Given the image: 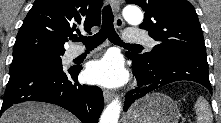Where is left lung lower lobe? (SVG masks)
Returning a JSON list of instances; mask_svg holds the SVG:
<instances>
[{"mask_svg": "<svg viewBox=\"0 0 221 123\" xmlns=\"http://www.w3.org/2000/svg\"><path fill=\"white\" fill-rule=\"evenodd\" d=\"M127 57L133 60L132 69L138 86L126 95L124 111H127L137 99L174 81H194L212 93L208 63L204 58L183 55L147 62L133 55Z\"/></svg>", "mask_w": 221, "mask_h": 123, "instance_id": "1", "label": "left lung lower lobe"}]
</instances>
